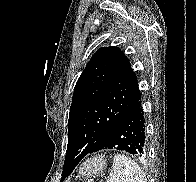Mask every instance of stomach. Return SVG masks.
Instances as JSON below:
<instances>
[{
	"instance_id": "stomach-1",
	"label": "stomach",
	"mask_w": 196,
	"mask_h": 182,
	"mask_svg": "<svg viewBox=\"0 0 196 182\" xmlns=\"http://www.w3.org/2000/svg\"><path fill=\"white\" fill-rule=\"evenodd\" d=\"M105 166H106V160H104L103 157L100 156L93 157L82 164L79 171V175L86 178L96 176L102 173Z\"/></svg>"
}]
</instances>
